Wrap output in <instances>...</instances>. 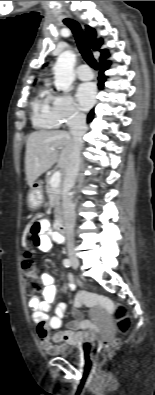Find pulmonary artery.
Masks as SVG:
<instances>
[{
  "label": "pulmonary artery",
  "instance_id": "obj_1",
  "mask_svg": "<svg viewBox=\"0 0 155 395\" xmlns=\"http://www.w3.org/2000/svg\"><path fill=\"white\" fill-rule=\"evenodd\" d=\"M79 79L87 81L93 78V73L88 65L82 64L76 70Z\"/></svg>",
  "mask_w": 155,
  "mask_h": 395
}]
</instances>
